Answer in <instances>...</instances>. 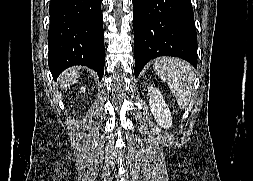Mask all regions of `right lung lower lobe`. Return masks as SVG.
Segmentation results:
<instances>
[{
	"mask_svg": "<svg viewBox=\"0 0 253 181\" xmlns=\"http://www.w3.org/2000/svg\"><path fill=\"white\" fill-rule=\"evenodd\" d=\"M48 32L49 68L54 79L74 65L104 73L101 0H51Z\"/></svg>",
	"mask_w": 253,
	"mask_h": 181,
	"instance_id": "obj_1",
	"label": "right lung lower lobe"
}]
</instances>
